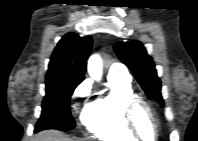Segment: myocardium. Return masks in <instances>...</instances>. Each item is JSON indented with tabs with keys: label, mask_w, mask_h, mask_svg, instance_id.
I'll list each match as a JSON object with an SVG mask.
<instances>
[{
	"label": "myocardium",
	"mask_w": 198,
	"mask_h": 141,
	"mask_svg": "<svg viewBox=\"0 0 198 141\" xmlns=\"http://www.w3.org/2000/svg\"><path fill=\"white\" fill-rule=\"evenodd\" d=\"M140 107H144L152 118V121L155 125V137L153 138V140H156L160 134L158 115L151 103L141 96L133 94L123 99L122 113L125 125L129 129V131L135 136L136 139L145 140L136 125V115Z\"/></svg>",
	"instance_id": "1"
}]
</instances>
